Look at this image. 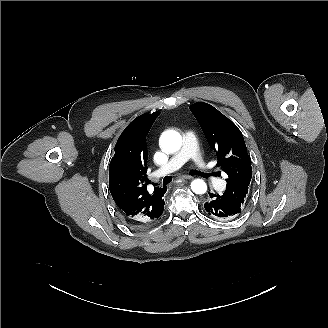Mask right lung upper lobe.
<instances>
[{
  "label": "right lung upper lobe",
  "mask_w": 328,
  "mask_h": 328,
  "mask_svg": "<svg viewBox=\"0 0 328 328\" xmlns=\"http://www.w3.org/2000/svg\"><path fill=\"white\" fill-rule=\"evenodd\" d=\"M143 114L135 118L122 132L110 162V193L123 217L134 226H145L156 221L164 209L163 196L167 187L147 191L146 136L159 115Z\"/></svg>",
  "instance_id": "cb5924a9"
}]
</instances>
